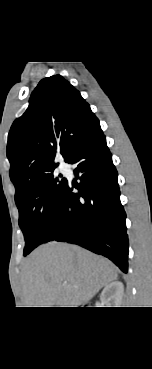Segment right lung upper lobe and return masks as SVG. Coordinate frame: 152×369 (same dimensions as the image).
<instances>
[{"instance_id": "1", "label": "right lung upper lobe", "mask_w": 152, "mask_h": 369, "mask_svg": "<svg viewBox=\"0 0 152 369\" xmlns=\"http://www.w3.org/2000/svg\"><path fill=\"white\" fill-rule=\"evenodd\" d=\"M99 129L89 104L67 80L60 75L41 80L27 110L13 122L8 135L7 157L15 197L58 165L54 163L58 152L68 162Z\"/></svg>"}]
</instances>
